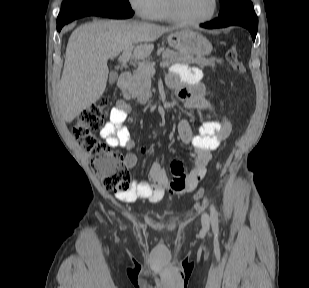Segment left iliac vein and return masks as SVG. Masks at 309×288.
<instances>
[{
    "label": "left iliac vein",
    "instance_id": "left-iliac-vein-1",
    "mask_svg": "<svg viewBox=\"0 0 309 288\" xmlns=\"http://www.w3.org/2000/svg\"><path fill=\"white\" fill-rule=\"evenodd\" d=\"M202 225L204 229H208L209 227V218L206 214H204L202 217Z\"/></svg>",
    "mask_w": 309,
    "mask_h": 288
}]
</instances>
